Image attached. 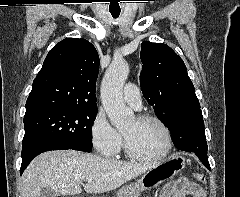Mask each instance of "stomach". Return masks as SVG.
I'll use <instances>...</instances> for the list:
<instances>
[{
    "mask_svg": "<svg viewBox=\"0 0 240 197\" xmlns=\"http://www.w3.org/2000/svg\"><path fill=\"white\" fill-rule=\"evenodd\" d=\"M184 166L185 158L174 154L154 168L147 170L136 182L120 188L116 197H139L143 191L155 188L165 180L174 177Z\"/></svg>",
    "mask_w": 240,
    "mask_h": 197,
    "instance_id": "stomach-1",
    "label": "stomach"
}]
</instances>
